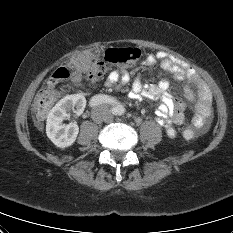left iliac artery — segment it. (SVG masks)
Listing matches in <instances>:
<instances>
[{
  "label": "left iliac artery",
  "mask_w": 233,
  "mask_h": 233,
  "mask_svg": "<svg viewBox=\"0 0 233 233\" xmlns=\"http://www.w3.org/2000/svg\"><path fill=\"white\" fill-rule=\"evenodd\" d=\"M111 111H112V113H113L114 115H119V116H120V115L124 114L125 109L123 108L122 105L117 104L115 107H113V108L111 109Z\"/></svg>",
  "instance_id": "obj_1"
}]
</instances>
